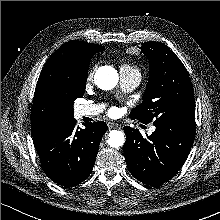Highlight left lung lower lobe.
<instances>
[{
    "mask_svg": "<svg viewBox=\"0 0 220 220\" xmlns=\"http://www.w3.org/2000/svg\"><path fill=\"white\" fill-rule=\"evenodd\" d=\"M156 130L147 138L125 126L124 155L130 173L148 185L170 180L185 163L194 142L196 125L179 119L154 124Z\"/></svg>",
    "mask_w": 220,
    "mask_h": 220,
    "instance_id": "0a47b994",
    "label": "left lung lower lobe"
}]
</instances>
